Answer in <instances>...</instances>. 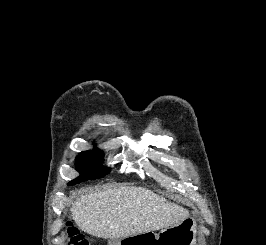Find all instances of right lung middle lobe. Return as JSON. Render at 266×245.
Returning a JSON list of instances; mask_svg holds the SVG:
<instances>
[{
  "mask_svg": "<svg viewBox=\"0 0 266 245\" xmlns=\"http://www.w3.org/2000/svg\"><path fill=\"white\" fill-rule=\"evenodd\" d=\"M102 152L98 149L92 151L81 152L76 157V170L80 176L71 181L69 185H73L89 179L101 178L110 172V168L101 166Z\"/></svg>",
  "mask_w": 266,
  "mask_h": 245,
  "instance_id": "1",
  "label": "right lung middle lobe"
}]
</instances>
